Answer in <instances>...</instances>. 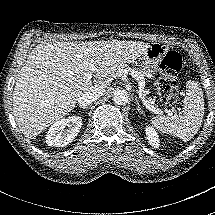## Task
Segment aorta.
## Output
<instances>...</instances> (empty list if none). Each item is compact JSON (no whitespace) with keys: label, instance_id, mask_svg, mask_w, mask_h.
Listing matches in <instances>:
<instances>
[{"label":"aorta","instance_id":"762f6f07","mask_svg":"<svg viewBox=\"0 0 215 215\" xmlns=\"http://www.w3.org/2000/svg\"><path fill=\"white\" fill-rule=\"evenodd\" d=\"M115 105L123 106L129 101V94L125 90H117L112 98Z\"/></svg>","mask_w":215,"mask_h":215}]
</instances>
